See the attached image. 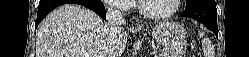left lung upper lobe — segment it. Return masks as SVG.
<instances>
[{"mask_svg": "<svg viewBox=\"0 0 249 57\" xmlns=\"http://www.w3.org/2000/svg\"><path fill=\"white\" fill-rule=\"evenodd\" d=\"M196 1H198V0H186V5L193 4Z\"/></svg>", "mask_w": 249, "mask_h": 57, "instance_id": "obj_1", "label": "left lung upper lobe"}]
</instances>
